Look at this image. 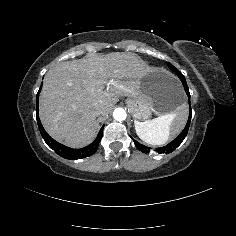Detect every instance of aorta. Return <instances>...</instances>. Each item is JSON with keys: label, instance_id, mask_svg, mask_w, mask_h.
<instances>
[{"label": "aorta", "instance_id": "1", "mask_svg": "<svg viewBox=\"0 0 236 236\" xmlns=\"http://www.w3.org/2000/svg\"><path fill=\"white\" fill-rule=\"evenodd\" d=\"M113 117L117 121H122L126 118V112L123 108L118 107L114 110Z\"/></svg>", "mask_w": 236, "mask_h": 236}]
</instances>
